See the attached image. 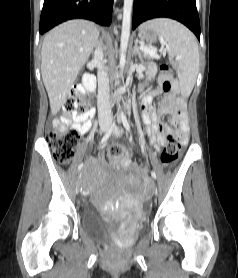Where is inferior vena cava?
Here are the masks:
<instances>
[{"instance_id":"602c4592","label":"inferior vena cava","mask_w":238,"mask_h":278,"mask_svg":"<svg viewBox=\"0 0 238 278\" xmlns=\"http://www.w3.org/2000/svg\"><path fill=\"white\" fill-rule=\"evenodd\" d=\"M94 63L97 66L98 78V118L101 126L109 127L111 121V103L109 96V78L104 67L103 51L99 45L94 54Z\"/></svg>"}]
</instances>
